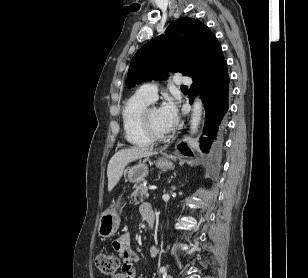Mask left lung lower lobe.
<instances>
[{"label":"left lung lower lobe","instance_id":"left-lung-lower-lobe-1","mask_svg":"<svg viewBox=\"0 0 308 278\" xmlns=\"http://www.w3.org/2000/svg\"><path fill=\"white\" fill-rule=\"evenodd\" d=\"M228 87L229 77L225 60L205 76L193 78L189 102L191 104L196 93L200 91L206 110L204 133L208 137L201 138L200 141V148L204 152H208L214 139L216 144L220 142L223 129L221 121L228 109ZM217 133L218 138H216ZM178 149L183 155L193 156L192 151L184 143L180 144Z\"/></svg>","mask_w":308,"mask_h":278}]
</instances>
